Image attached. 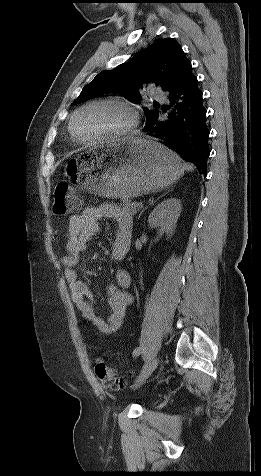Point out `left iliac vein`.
<instances>
[{
  "mask_svg": "<svg viewBox=\"0 0 261 476\" xmlns=\"http://www.w3.org/2000/svg\"><path fill=\"white\" fill-rule=\"evenodd\" d=\"M159 364V358L158 357H152L150 358L143 366L139 376L135 380V386L138 387L142 385L146 379L149 378V376L153 373V371L157 368Z\"/></svg>",
  "mask_w": 261,
  "mask_h": 476,
  "instance_id": "obj_1",
  "label": "left iliac vein"
}]
</instances>
